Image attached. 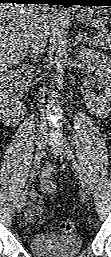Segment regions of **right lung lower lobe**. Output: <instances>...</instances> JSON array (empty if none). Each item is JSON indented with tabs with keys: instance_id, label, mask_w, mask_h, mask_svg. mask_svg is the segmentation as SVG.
<instances>
[{
	"instance_id": "98d812e1",
	"label": "right lung lower lobe",
	"mask_w": 111,
	"mask_h": 257,
	"mask_svg": "<svg viewBox=\"0 0 111 257\" xmlns=\"http://www.w3.org/2000/svg\"><path fill=\"white\" fill-rule=\"evenodd\" d=\"M0 3H17V4H49L54 5V0H0Z\"/></svg>"
}]
</instances>
